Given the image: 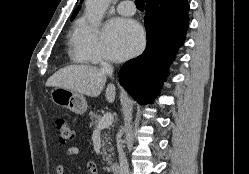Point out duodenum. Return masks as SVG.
Returning <instances> with one entry per match:
<instances>
[{
    "label": "duodenum",
    "mask_w": 249,
    "mask_h": 174,
    "mask_svg": "<svg viewBox=\"0 0 249 174\" xmlns=\"http://www.w3.org/2000/svg\"><path fill=\"white\" fill-rule=\"evenodd\" d=\"M110 169L113 174H120V165L118 163H112Z\"/></svg>",
    "instance_id": "410a0bca"
}]
</instances>
